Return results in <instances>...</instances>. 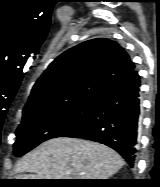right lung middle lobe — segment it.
Segmentation results:
<instances>
[{
	"label": "right lung middle lobe",
	"instance_id": "dd1d6c3e",
	"mask_svg": "<svg viewBox=\"0 0 160 187\" xmlns=\"http://www.w3.org/2000/svg\"><path fill=\"white\" fill-rule=\"evenodd\" d=\"M98 102L99 99H74L23 112L14 154L20 157L40 143L73 130L94 112Z\"/></svg>",
	"mask_w": 160,
	"mask_h": 187
}]
</instances>
